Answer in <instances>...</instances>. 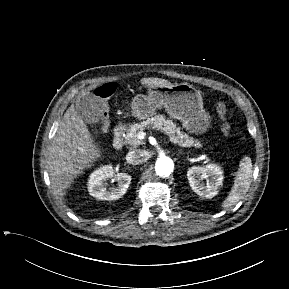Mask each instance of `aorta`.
I'll return each mask as SVG.
<instances>
[{
    "mask_svg": "<svg viewBox=\"0 0 289 289\" xmlns=\"http://www.w3.org/2000/svg\"><path fill=\"white\" fill-rule=\"evenodd\" d=\"M174 169L173 160L167 156H161L155 163V172L161 177L169 176Z\"/></svg>",
    "mask_w": 289,
    "mask_h": 289,
    "instance_id": "obj_1",
    "label": "aorta"
}]
</instances>
